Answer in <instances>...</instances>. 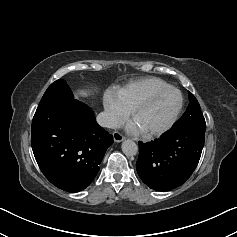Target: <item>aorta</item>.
Instances as JSON below:
<instances>
[{
  "mask_svg": "<svg viewBox=\"0 0 237 237\" xmlns=\"http://www.w3.org/2000/svg\"><path fill=\"white\" fill-rule=\"evenodd\" d=\"M122 151L126 156H134L138 152L137 144L132 140H125L122 143Z\"/></svg>",
  "mask_w": 237,
  "mask_h": 237,
  "instance_id": "762f6f07",
  "label": "aorta"
}]
</instances>
